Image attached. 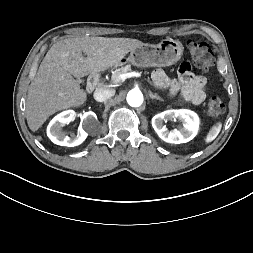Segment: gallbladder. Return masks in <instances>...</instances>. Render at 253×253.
<instances>
[{
  "instance_id": "1",
  "label": "gallbladder",
  "mask_w": 253,
  "mask_h": 253,
  "mask_svg": "<svg viewBox=\"0 0 253 253\" xmlns=\"http://www.w3.org/2000/svg\"><path fill=\"white\" fill-rule=\"evenodd\" d=\"M77 81H78L79 83H83V82H84V81H83L82 79H80V78H78Z\"/></svg>"
}]
</instances>
